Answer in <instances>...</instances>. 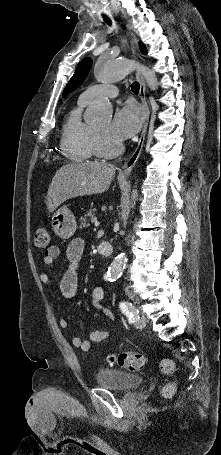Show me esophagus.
Masks as SVG:
<instances>
[{"mask_svg":"<svg viewBox=\"0 0 221 455\" xmlns=\"http://www.w3.org/2000/svg\"><path fill=\"white\" fill-rule=\"evenodd\" d=\"M131 38H132V51H133V54L134 55H137L136 53V44H137V40L136 38L134 37V35L131 33ZM136 78L139 82V85H140V89H139V94H140V97H141V101H142V104L145 108V122H144V125H143V129H142V132H141V135H140V138H139V142H138V145L135 149V151L133 152V154L128 158V160L125 162L124 166H123V172L121 173L120 175V178H124L126 176H128L132 170V168L134 167L135 163L137 162L140 154H141V151L143 149V145H144V141H145V135H146V132H147V127H148V122H149V116H150V110H149V106H148V103H147V100H146V87H145V81H144V78L141 74L140 71H138L136 73Z\"/></svg>","mask_w":221,"mask_h":455,"instance_id":"esophagus-1","label":"esophagus"}]
</instances>
